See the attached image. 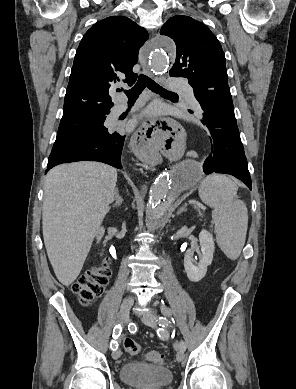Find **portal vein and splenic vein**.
<instances>
[{
	"label": "portal vein and splenic vein",
	"instance_id": "1",
	"mask_svg": "<svg viewBox=\"0 0 296 389\" xmlns=\"http://www.w3.org/2000/svg\"><path fill=\"white\" fill-rule=\"evenodd\" d=\"M190 203H194V201H189Z\"/></svg>",
	"mask_w": 296,
	"mask_h": 389
}]
</instances>
